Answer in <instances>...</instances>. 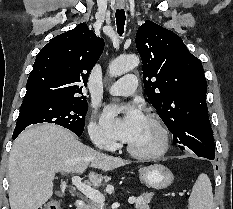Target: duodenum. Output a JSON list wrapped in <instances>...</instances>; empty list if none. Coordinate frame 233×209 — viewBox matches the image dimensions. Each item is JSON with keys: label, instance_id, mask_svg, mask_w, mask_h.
I'll use <instances>...</instances> for the list:
<instances>
[{"label": "duodenum", "instance_id": "obj_1", "mask_svg": "<svg viewBox=\"0 0 233 209\" xmlns=\"http://www.w3.org/2000/svg\"><path fill=\"white\" fill-rule=\"evenodd\" d=\"M75 207L76 209H85V202L81 199H77L75 201Z\"/></svg>", "mask_w": 233, "mask_h": 209}]
</instances>
